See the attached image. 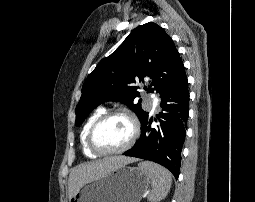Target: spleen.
I'll return each mask as SVG.
<instances>
[{"instance_id":"3e777b00","label":"spleen","mask_w":255,"mask_h":202,"mask_svg":"<svg viewBox=\"0 0 255 202\" xmlns=\"http://www.w3.org/2000/svg\"><path fill=\"white\" fill-rule=\"evenodd\" d=\"M138 168L145 172L151 180L152 190L148 195V200L159 202L164 199L171 187V173L164 167L149 161L140 162Z\"/></svg>"}]
</instances>
